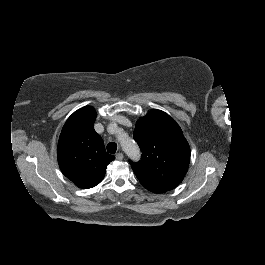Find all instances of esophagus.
Listing matches in <instances>:
<instances>
[{"label": "esophagus", "mask_w": 265, "mask_h": 265, "mask_svg": "<svg viewBox=\"0 0 265 265\" xmlns=\"http://www.w3.org/2000/svg\"><path fill=\"white\" fill-rule=\"evenodd\" d=\"M115 158H116L117 160L121 161V160H123L124 155H123L122 152H119V153H117V154L115 155Z\"/></svg>", "instance_id": "esophagus-1"}]
</instances>
